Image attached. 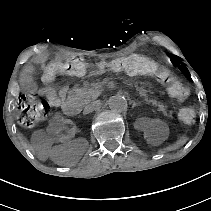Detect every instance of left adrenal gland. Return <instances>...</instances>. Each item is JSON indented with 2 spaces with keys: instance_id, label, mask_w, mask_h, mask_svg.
Returning <instances> with one entry per match:
<instances>
[{
  "instance_id": "obj_1",
  "label": "left adrenal gland",
  "mask_w": 211,
  "mask_h": 211,
  "mask_svg": "<svg viewBox=\"0 0 211 211\" xmlns=\"http://www.w3.org/2000/svg\"><path fill=\"white\" fill-rule=\"evenodd\" d=\"M130 102L133 104V106H132L133 109L140 106V104H137L135 100H132Z\"/></svg>"
}]
</instances>
